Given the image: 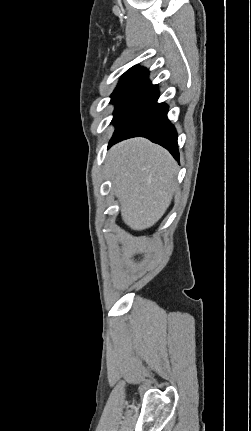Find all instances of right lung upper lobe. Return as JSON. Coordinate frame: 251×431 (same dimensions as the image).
Listing matches in <instances>:
<instances>
[{
  "instance_id": "cb5924a9",
  "label": "right lung upper lobe",
  "mask_w": 251,
  "mask_h": 431,
  "mask_svg": "<svg viewBox=\"0 0 251 431\" xmlns=\"http://www.w3.org/2000/svg\"><path fill=\"white\" fill-rule=\"evenodd\" d=\"M133 68H139V67L135 66V67H133ZM131 69H132V68H131ZM140 69H145V68H140Z\"/></svg>"
}]
</instances>
